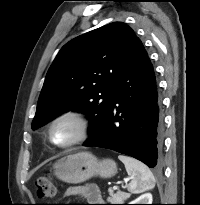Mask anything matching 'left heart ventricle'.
I'll list each match as a JSON object with an SVG mask.
<instances>
[{"instance_id": "b2bd125f", "label": "left heart ventricle", "mask_w": 200, "mask_h": 205, "mask_svg": "<svg viewBox=\"0 0 200 205\" xmlns=\"http://www.w3.org/2000/svg\"><path fill=\"white\" fill-rule=\"evenodd\" d=\"M75 134V125L71 122L65 121L56 125L53 131V138L57 143H65L71 140Z\"/></svg>"}]
</instances>
